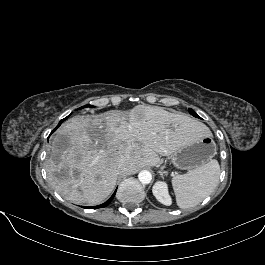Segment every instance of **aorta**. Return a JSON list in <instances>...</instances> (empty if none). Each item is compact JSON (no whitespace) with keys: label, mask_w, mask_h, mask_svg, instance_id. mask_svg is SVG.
<instances>
[{"label":"aorta","mask_w":265,"mask_h":265,"mask_svg":"<svg viewBox=\"0 0 265 265\" xmlns=\"http://www.w3.org/2000/svg\"><path fill=\"white\" fill-rule=\"evenodd\" d=\"M138 179L142 184H149L152 180V174L147 170H142L138 174Z\"/></svg>","instance_id":"aorta-1"}]
</instances>
